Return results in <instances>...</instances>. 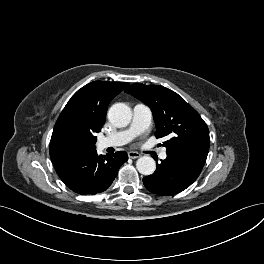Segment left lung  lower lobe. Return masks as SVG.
<instances>
[{
	"instance_id": "1",
	"label": "left lung lower lobe",
	"mask_w": 264,
	"mask_h": 264,
	"mask_svg": "<svg viewBox=\"0 0 264 264\" xmlns=\"http://www.w3.org/2000/svg\"><path fill=\"white\" fill-rule=\"evenodd\" d=\"M204 159L186 151L167 152L152 175L143 178L147 190L158 195H174L188 188L199 176Z\"/></svg>"
}]
</instances>
